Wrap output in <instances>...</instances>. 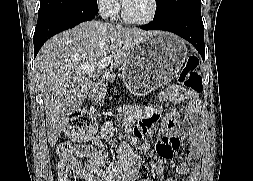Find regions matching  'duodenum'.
Masks as SVG:
<instances>
[{"label":"duodenum","instance_id":"duodenum-1","mask_svg":"<svg viewBox=\"0 0 253 181\" xmlns=\"http://www.w3.org/2000/svg\"><path fill=\"white\" fill-rule=\"evenodd\" d=\"M104 93V86L102 84H96L94 89L90 92V98L93 101H98L103 97Z\"/></svg>","mask_w":253,"mask_h":181}]
</instances>
